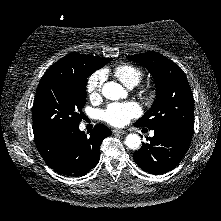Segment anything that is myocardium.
<instances>
[{"label":"myocardium","instance_id":"obj_1","mask_svg":"<svg viewBox=\"0 0 221 221\" xmlns=\"http://www.w3.org/2000/svg\"><path fill=\"white\" fill-rule=\"evenodd\" d=\"M144 95L146 96V97H151L152 96V90H151V88H146L145 90H144Z\"/></svg>","mask_w":221,"mask_h":221}]
</instances>
